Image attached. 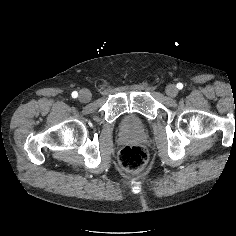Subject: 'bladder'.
I'll list each match as a JSON object with an SVG mask.
<instances>
[{
  "instance_id": "bladder-1",
  "label": "bladder",
  "mask_w": 236,
  "mask_h": 236,
  "mask_svg": "<svg viewBox=\"0 0 236 236\" xmlns=\"http://www.w3.org/2000/svg\"><path fill=\"white\" fill-rule=\"evenodd\" d=\"M123 125L128 130H138L141 127L140 121L133 115H127L123 119Z\"/></svg>"
}]
</instances>
